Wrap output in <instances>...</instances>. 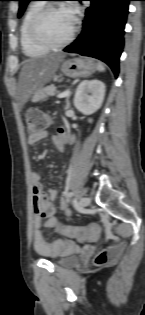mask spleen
Listing matches in <instances>:
<instances>
[{
    "label": "spleen",
    "mask_w": 145,
    "mask_h": 315,
    "mask_svg": "<svg viewBox=\"0 0 145 315\" xmlns=\"http://www.w3.org/2000/svg\"><path fill=\"white\" fill-rule=\"evenodd\" d=\"M97 70L100 71V72L105 71V66H104V64L102 62H98Z\"/></svg>",
    "instance_id": "3e777b00"
}]
</instances>
